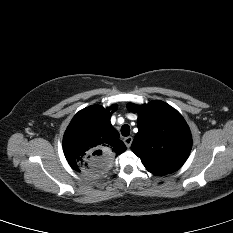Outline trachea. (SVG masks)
<instances>
[{
    "label": "trachea",
    "mask_w": 233,
    "mask_h": 233,
    "mask_svg": "<svg viewBox=\"0 0 233 233\" xmlns=\"http://www.w3.org/2000/svg\"><path fill=\"white\" fill-rule=\"evenodd\" d=\"M121 134L123 136H129V134H130V127H129V125L125 124V125H123L121 127Z\"/></svg>",
    "instance_id": "trachea-1"
}]
</instances>
